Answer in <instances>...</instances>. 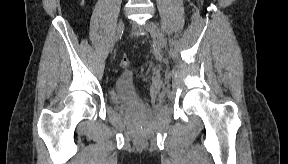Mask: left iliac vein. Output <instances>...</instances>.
Masks as SVG:
<instances>
[{
    "label": "left iliac vein",
    "instance_id": "left-iliac-vein-1",
    "mask_svg": "<svg viewBox=\"0 0 288 164\" xmlns=\"http://www.w3.org/2000/svg\"><path fill=\"white\" fill-rule=\"evenodd\" d=\"M148 31L151 33L154 43L160 48L165 47V36L160 27L153 21L146 23Z\"/></svg>",
    "mask_w": 288,
    "mask_h": 164
}]
</instances>
